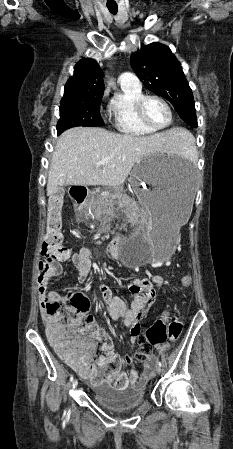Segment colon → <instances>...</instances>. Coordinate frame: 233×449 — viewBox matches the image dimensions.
Instances as JSON below:
<instances>
[{
    "label": "colon",
    "instance_id": "5ec220e1",
    "mask_svg": "<svg viewBox=\"0 0 233 449\" xmlns=\"http://www.w3.org/2000/svg\"><path fill=\"white\" fill-rule=\"evenodd\" d=\"M63 197L55 194L48 202V216L46 231L42 241L43 259L39 268L69 254V250L63 246V219H62ZM183 288H189L192 277L185 275L180 280ZM69 305L63 307L58 300L46 299L42 302V315L47 323V333L50 342L56 347L58 353L66 362L75 366L80 362L72 356L71 348L65 343V338H73L78 351L84 352L95 349L97 342L108 344L109 337L101 334L93 324V319L86 312L90 302L87 297L77 292L68 295ZM182 333V323L177 316L167 319H158L148 328L145 334L139 335L137 342L141 347L138 358L146 357L154 346L164 345L168 341H177ZM130 359L127 360L129 362ZM115 386L123 387L120 380L115 381Z\"/></svg>",
    "mask_w": 233,
    "mask_h": 449
}]
</instances>
